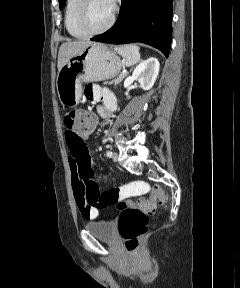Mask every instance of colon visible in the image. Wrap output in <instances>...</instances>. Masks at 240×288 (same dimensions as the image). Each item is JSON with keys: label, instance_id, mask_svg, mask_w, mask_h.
<instances>
[{"label": "colon", "instance_id": "colon-1", "mask_svg": "<svg viewBox=\"0 0 240 288\" xmlns=\"http://www.w3.org/2000/svg\"><path fill=\"white\" fill-rule=\"evenodd\" d=\"M95 115L83 109H74L64 117L66 132L80 137L89 133L95 126ZM132 192L150 191L149 198H140L136 202L126 201L118 189L89 191L87 202L92 206L103 208L116 205L120 211L119 231L128 252L134 253L139 247L142 236L147 231L149 216L153 215L156 203L164 204L167 194L159 186H148L145 183H135Z\"/></svg>", "mask_w": 240, "mask_h": 288}]
</instances>
